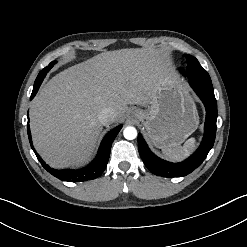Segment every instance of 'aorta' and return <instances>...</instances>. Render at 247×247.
Wrapping results in <instances>:
<instances>
[{"label": "aorta", "instance_id": "1", "mask_svg": "<svg viewBox=\"0 0 247 247\" xmlns=\"http://www.w3.org/2000/svg\"><path fill=\"white\" fill-rule=\"evenodd\" d=\"M123 135L127 140H133L137 137V130L133 126H127L123 131Z\"/></svg>", "mask_w": 247, "mask_h": 247}]
</instances>
